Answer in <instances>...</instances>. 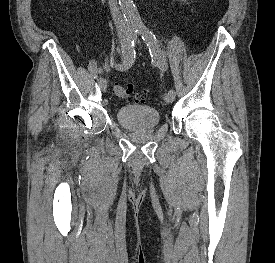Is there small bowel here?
<instances>
[{"instance_id": "c3829d8e", "label": "small bowel", "mask_w": 275, "mask_h": 263, "mask_svg": "<svg viewBox=\"0 0 275 263\" xmlns=\"http://www.w3.org/2000/svg\"><path fill=\"white\" fill-rule=\"evenodd\" d=\"M103 70H104L105 72H109V71L111 70V66H110L108 60L105 61L104 65H103Z\"/></svg>"}]
</instances>
